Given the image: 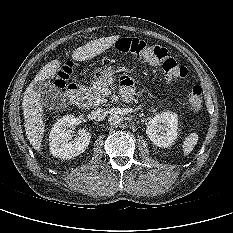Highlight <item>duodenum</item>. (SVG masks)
I'll return each instance as SVG.
<instances>
[{
	"mask_svg": "<svg viewBox=\"0 0 233 233\" xmlns=\"http://www.w3.org/2000/svg\"><path fill=\"white\" fill-rule=\"evenodd\" d=\"M82 91V85L79 83H70L67 86L66 94L71 103H77L79 95Z\"/></svg>",
	"mask_w": 233,
	"mask_h": 233,
	"instance_id": "410a0bca",
	"label": "duodenum"
}]
</instances>
